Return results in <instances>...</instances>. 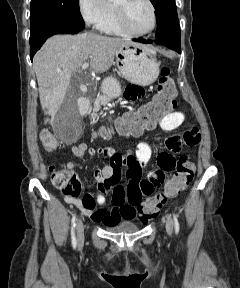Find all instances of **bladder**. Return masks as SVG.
<instances>
[{
    "instance_id": "31cf9c89",
    "label": "bladder",
    "mask_w": 240,
    "mask_h": 288,
    "mask_svg": "<svg viewBox=\"0 0 240 288\" xmlns=\"http://www.w3.org/2000/svg\"><path fill=\"white\" fill-rule=\"evenodd\" d=\"M106 230L115 233H134L139 230V226L132 222H119L113 225H107Z\"/></svg>"
}]
</instances>
